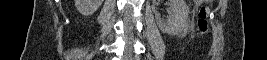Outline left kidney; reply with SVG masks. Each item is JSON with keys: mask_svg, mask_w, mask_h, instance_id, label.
Segmentation results:
<instances>
[{"mask_svg": "<svg viewBox=\"0 0 267 60\" xmlns=\"http://www.w3.org/2000/svg\"><path fill=\"white\" fill-rule=\"evenodd\" d=\"M190 7L184 0H170L169 17L166 21L156 15V22L159 29L167 34L180 32L189 17Z\"/></svg>", "mask_w": 267, "mask_h": 60, "instance_id": "obj_1", "label": "left kidney"}]
</instances>
